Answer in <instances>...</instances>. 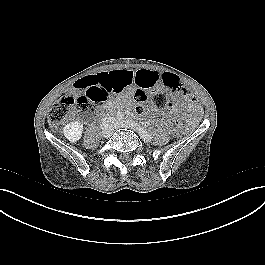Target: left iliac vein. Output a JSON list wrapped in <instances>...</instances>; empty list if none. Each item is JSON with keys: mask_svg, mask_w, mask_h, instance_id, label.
<instances>
[{"mask_svg": "<svg viewBox=\"0 0 265 265\" xmlns=\"http://www.w3.org/2000/svg\"><path fill=\"white\" fill-rule=\"evenodd\" d=\"M115 128H129L139 133L140 126L132 120H126V121L123 120V121H116ZM143 140L145 142H150L152 140V137L149 136L148 138H143Z\"/></svg>", "mask_w": 265, "mask_h": 265, "instance_id": "1", "label": "left iliac vein"}]
</instances>
